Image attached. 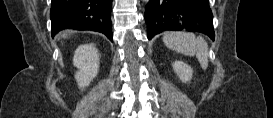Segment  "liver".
<instances>
[{
  "label": "liver",
  "mask_w": 273,
  "mask_h": 118,
  "mask_svg": "<svg viewBox=\"0 0 273 118\" xmlns=\"http://www.w3.org/2000/svg\"><path fill=\"white\" fill-rule=\"evenodd\" d=\"M63 37L66 38V37H67V33H66V34H63Z\"/></svg>",
  "instance_id": "6515ba94"
}]
</instances>
